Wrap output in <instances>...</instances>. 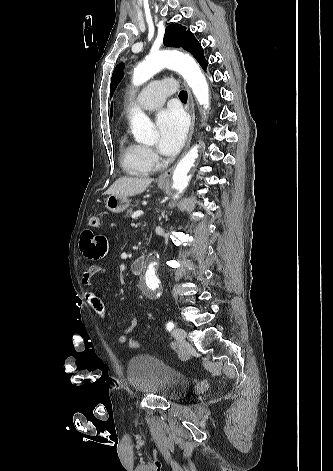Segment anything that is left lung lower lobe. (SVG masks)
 <instances>
[{
    "mask_svg": "<svg viewBox=\"0 0 333 471\" xmlns=\"http://www.w3.org/2000/svg\"><path fill=\"white\" fill-rule=\"evenodd\" d=\"M200 65L205 69L207 66V61L204 59L203 61L200 62Z\"/></svg>",
    "mask_w": 333,
    "mask_h": 471,
    "instance_id": "1",
    "label": "left lung lower lobe"
}]
</instances>
